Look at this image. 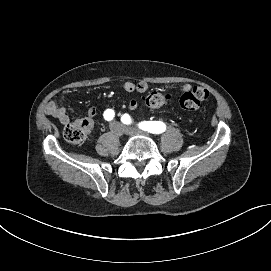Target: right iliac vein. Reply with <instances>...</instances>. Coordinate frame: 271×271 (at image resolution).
I'll return each mask as SVG.
<instances>
[{"label": "right iliac vein", "mask_w": 271, "mask_h": 271, "mask_svg": "<svg viewBox=\"0 0 271 271\" xmlns=\"http://www.w3.org/2000/svg\"><path fill=\"white\" fill-rule=\"evenodd\" d=\"M110 131L118 136H121L124 132V129L119 123L113 122L110 125Z\"/></svg>", "instance_id": "63e3f726"}]
</instances>
